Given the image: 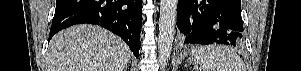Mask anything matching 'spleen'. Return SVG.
Wrapping results in <instances>:
<instances>
[{
	"label": "spleen",
	"mask_w": 301,
	"mask_h": 71,
	"mask_svg": "<svg viewBox=\"0 0 301 71\" xmlns=\"http://www.w3.org/2000/svg\"><path fill=\"white\" fill-rule=\"evenodd\" d=\"M191 59L202 65L203 71H246L241 57L232 49L210 45L192 51Z\"/></svg>",
	"instance_id": "1"
}]
</instances>
